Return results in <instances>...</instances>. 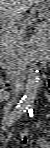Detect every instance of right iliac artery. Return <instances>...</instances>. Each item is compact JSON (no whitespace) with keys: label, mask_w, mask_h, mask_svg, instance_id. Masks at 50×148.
I'll list each match as a JSON object with an SVG mask.
<instances>
[{"label":"right iliac artery","mask_w":50,"mask_h":148,"mask_svg":"<svg viewBox=\"0 0 50 148\" xmlns=\"http://www.w3.org/2000/svg\"><path fill=\"white\" fill-rule=\"evenodd\" d=\"M28 106L29 105L26 102H19L14 111H12V113L8 116L6 125L10 126L16 120H18L21 115L26 112Z\"/></svg>","instance_id":"1"}]
</instances>
